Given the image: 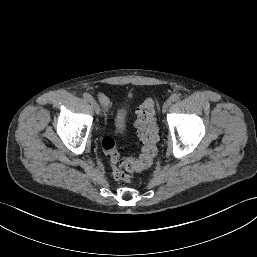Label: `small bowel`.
Here are the masks:
<instances>
[{
	"label": "small bowel",
	"instance_id": "small-bowel-1",
	"mask_svg": "<svg viewBox=\"0 0 257 257\" xmlns=\"http://www.w3.org/2000/svg\"><path fill=\"white\" fill-rule=\"evenodd\" d=\"M97 97H98L99 101L101 102L105 111L110 112L111 111V104H110L109 98L104 93H101V92H99L97 94Z\"/></svg>",
	"mask_w": 257,
	"mask_h": 257
}]
</instances>
